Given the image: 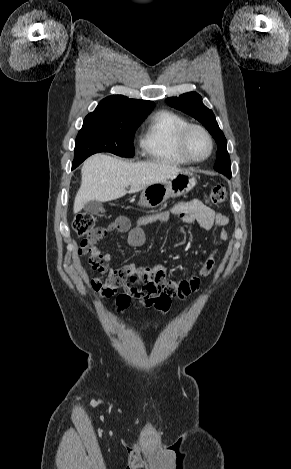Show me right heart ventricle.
Segmentation results:
<instances>
[{
	"instance_id": "1",
	"label": "right heart ventricle",
	"mask_w": 291,
	"mask_h": 469,
	"mask_svg": "<svg viewBox=\"0 0 291 469\" xmlns=\"http://www.w3.org/2000/svg\"><path fill=\"white\" fill-rule=\"evenodd\" d=\"M189 124L186 118L170 110H159L147 120L140 146L146 158L168 165H187L178 150L179 131Z\"/></svg>"
}]
</instances>
